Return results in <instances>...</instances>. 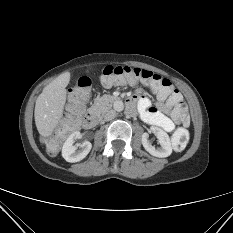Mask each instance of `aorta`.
<instances>
[{
	"instance_id": "762f6f07",
	"label": "aorta",
	"mask_w": 233,
	"mask_h": 233,
	"mask_svg": "<svg viewBox=\"0 0 233 233\" xmlns=\"http://www.w3.org/2000/svg\"><path fill=\"white\" fill-rule=\"evenodd\" d=\"M114 108L116 111H122L124 109V104L122 101H117L115 104H114Z\"/></svg>"
}]
</instances>
